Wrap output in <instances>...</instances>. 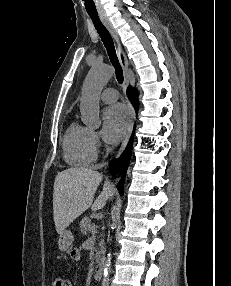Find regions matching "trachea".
Instances as JSON below:
<instances>
[{
    "mask_svg": "<svg viewBox=\"0 0 231 286\" xmlns=\"http://www.w3.org/2000/svg\"><path fill=\"white\" fill-rule=\"evenodd\" d=\"M88 14H89L91 20L93 21V24H94L98 34L100 35L102 42H103V44L107 50L109 59L113 65V67L115 68L116 79L121 84V83H123V71H122V68L120 66L117 55H116L113 39H112L109 31L107 30V28L101 22L98 14H90V13H88Z\"/></svg>",
    "mask_w": 231,
    "mask_h": 286,
    "instance_id": "3493384b",
    "label": "trachea"
}]
</instances>
